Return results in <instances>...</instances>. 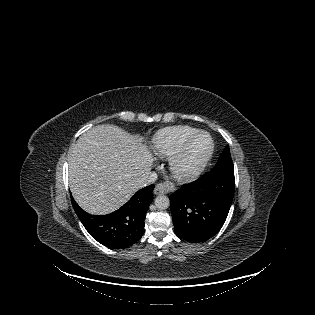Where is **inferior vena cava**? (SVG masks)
Masks as SVG:
<instances>
[{
  "label": "inferior vena cava",
  "instance_id": "inferior-vena-cava-1",
  "mask_svg": "<svg viewBox=\"0 0 315 315\" xmlns=\"http://www.w3.org/2000/svg\"><path fill=\"white\" fill-rule=\"evenodd\" d=\"M156 179H157V174L155 172H150L148 176L145 177L143 181L141 182V187L154 183Z\"/></svg>",
  "mask_w": 315,
  "mask_h": 315
}]
</instances>
